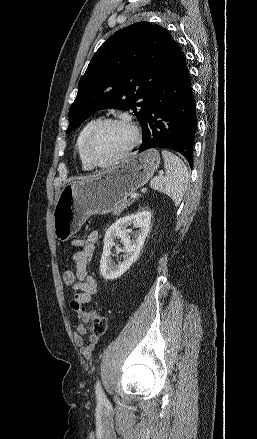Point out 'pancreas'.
I'll list each match as a JSON object with an SVG mask.
<instances>
[{
    "instance_id": "cf45deb5",
    "label": "pancreas",
    "mask_w": 257,
    "mask_h": 439,
    "mask_svg": "<svg viewBox=\"0 0 257 439\" xmlns=\"http://www.w3.org/2000/svg\"><path fill=\"white\" fill-rule=\"evenodd\" d=\"M132 204V200H125L120 205L113 208L112 213L114 216H119L127 206Z\"/></svg>"
}]
</instances>
